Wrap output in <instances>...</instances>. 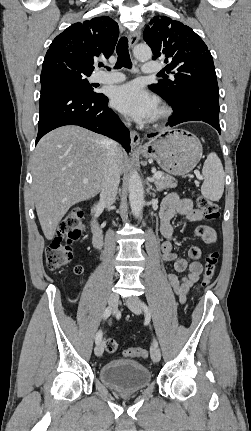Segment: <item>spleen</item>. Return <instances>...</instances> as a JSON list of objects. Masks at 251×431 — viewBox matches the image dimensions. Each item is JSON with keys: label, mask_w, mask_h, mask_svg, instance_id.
<instances>
[{"label": "spleen", "mask_w": 251, "mask_h": 431, "mask_svg": "<svg viewBox=\"0 0 251 431\" xmlns=\"http://www.w3.org/2000/svg\"><path fill=\"white\" fill-rule=\"evenodd\" d=\"M202 174L204 182L201 186L202 195L212 201H218L224 192V170L216 153L212 152L204 162Z\"/></svg>", "instance_id": "obj_1"}]
</instances>
